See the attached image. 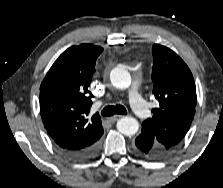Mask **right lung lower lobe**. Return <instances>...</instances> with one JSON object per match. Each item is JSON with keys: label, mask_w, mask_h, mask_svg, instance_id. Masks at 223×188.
<instances>
[{"label": "right lung lower lobe", "mask_w": 223, "mask_h": 188, "mask_svg": "<svg viewBox=\"0 0 223 188\" xmlns=\"http://www.w3.org/2000/svg\"><path fill=\"white\" fill-rule=\"evenodd\" d=\"M59 151L66 156L67 158L73 160V161H86L91 159L98 151L99 143L98 141L91 144L88 147L78 149V150H71L66 149L58 146Z\"/></svg>", "instance_id": "1"}]
</instances>
